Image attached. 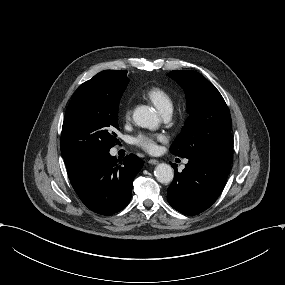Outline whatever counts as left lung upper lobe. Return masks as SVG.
I'll list each match as a JSON object with an SVG mask.
<instances>
[{
	"label": "left lung upper lobe",
	"mask_w": 285,
	"mask_h": 285,
	"mask_svg": "<svg viewBox=\"0 0 285 285\" xmlns=\"http://www.w3.org/2000/svg\"><path fill=\"white\" fill-rule=\"evenodd\" d=\"M183 88L187 118L171 152L184 158L214 156L232 161V123L228 107L219 91L196 71L167 74Z\"/></svg>",
	"instance_id": "5c2ea615"
}]
</instances>
